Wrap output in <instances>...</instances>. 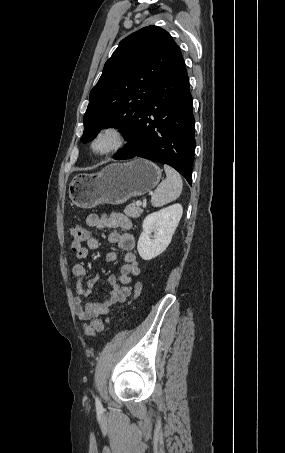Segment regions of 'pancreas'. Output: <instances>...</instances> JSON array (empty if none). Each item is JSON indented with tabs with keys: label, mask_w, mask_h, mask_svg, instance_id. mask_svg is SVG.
<instances>
[{
	"label": "pancreas",
	"mask_w": 285,
	"mask_h": 453,
	"mask_svg": "<svg viewBox=\"0 0 285 453\" xmlns=\"http://www.w3.org/2000/svg\"><path fill=\"white\" fill-rule=\"evenodd\" d=\"M124 213L127 216L135 219V218L140 217V215L143 213V209L140 207H136L135 205L132 204L125 208Z\"/></svg>",
	"instance_id": "obj_1"
}]
</instances>
